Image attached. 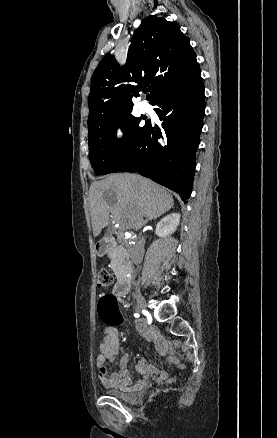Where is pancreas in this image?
I'll return each instance as SVG.
<instances>
[{"mask_svg":"<svg viewBox=\"0 0 277 438\" xmlns=\"http://www.w3.org/2000/svg\"><path fill=\"white\" fill-rule=\"evenodd\" d=\"M106 239H98L96 241V244H103L105 247V250L103 253H110V264L109 267L111 270H120L121 267H125L126 261L125 258H123V252L122 251H116L117 247L114 243L115 239V232L114 231H107L106 232Z\"/></svg>","mask_w":277,"mask_h":438,"instance_id":"cf45deb5","label":"pancreas"}]
</instances>
